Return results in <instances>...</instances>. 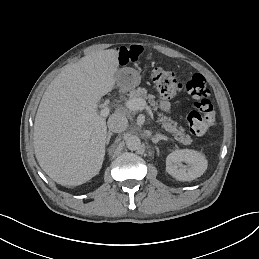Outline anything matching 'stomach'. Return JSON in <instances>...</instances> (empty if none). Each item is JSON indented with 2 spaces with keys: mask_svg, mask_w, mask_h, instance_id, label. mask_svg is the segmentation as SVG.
Wrapping results in <instances>:
<instances>
[{
  "mask_svg": "<svg viewBox=\"0 0 259 259\" xmlns=\"http://www.w3.org/2000/svg\"><path fill=\"white\" fill-rule=\"evenodd\" d=\"M115 79L122 91H129L140 84V75L132 67L119 70L116 73Z\"/></svg>",
  "mask_w": 259,
  "mask_h": 259,
  "instance_id": "0dacf381",
  "label": "stomach"
}]
</instances>
